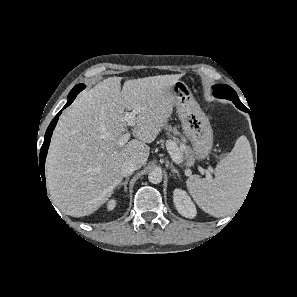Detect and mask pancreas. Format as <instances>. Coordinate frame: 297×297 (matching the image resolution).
Returning <instances> with one entry per match:
<instances>
[{
  "mask_svg": "<svg viewBox=\"0 0 297 297\" xmlns=\"http://www.w3.org/2000/svg\"><path fill=\"white\" fill-rule=\"evenodd\" d=\"M168 131L173 133L174 135L179 134L178 130L176 128H172L171 126L167 127ZM172 142L176 146V152L183 158V155L185 154L187 157H189L192 153L191 148L189 146L179 147L178 145H181L180 141L176 138H173Z\"/></svg>",
  "mask_w": 297,
  "mask_h": 297,
  "instance_id": "obj_1",
  "label": "pancreas"
}]
</instances>
